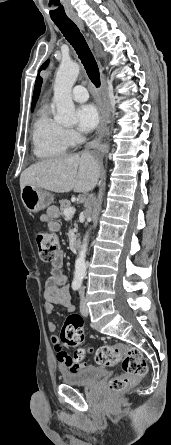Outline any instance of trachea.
Segmentation results:
<instances>
[{
	"mask_svg": "<svg viewBox=\"0 0 171 445\" xmlns=\"http://www.w3.org/2000/svg\"><path fill=\"white\" fill-rule=\"evenodd\" d=\"M54 23L75 49L91 82L99 87L100 73L97 62L77 25L70 19L54 20Z\"/></svg>",
	"mask_w": 171,
	"mask_h": 445,
	"instance_id": "3493384b",
	"label": "trachea"
}]
</instances>
